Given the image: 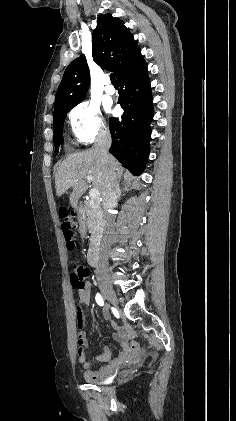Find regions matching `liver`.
Returning <instances> with one entry per match:
<instances>
[{
	"instance_id": "6515ba94",
	"label": "liver",
	"mask_w": 236,
	"mask_h": 421,
	"mask_svg": "<svg viewBox=\"0 0 236 421\" xmlns=\"http://www.w3.org/2000/svg\"><path fill=\"white\" fill-rule=\"evenodd\" d=\"M110 168H120V162L114 156H109L107 162H102L96 148H89L83 152L68 154L65 160L58 164L55 172V186L57 196L64 194L68 188H72L69 202L72 208H77L78 200L89 184L86 176H93L92 186L99 190V196H103L107 182H109ZM127 172L124 178L127 180Z\"/></svg>"
}]
</instances>
